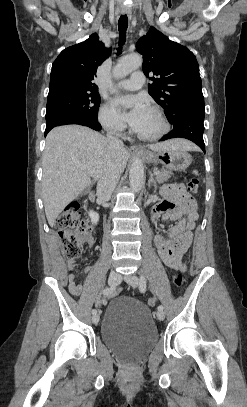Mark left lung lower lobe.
Masks as SVG:
<instances>
[{
    "label": "left lung lower lobe",
    "mask_w": 247,
    "mask_h": 407,
    "mask_svg": "<svg viewBox=\"0 0 247 407\" xmlns=\"http://www.w3.org/2000/svg\"><path fill=\"white\" fill-rule=\"evenodd\" d=\"M205 112L187 111L172 122L173 130L165 135L161 141L171 138H186L196 143L205 153L203 140Z\"/></svg>",
    "instance_id": "1"
}]
</instances>
